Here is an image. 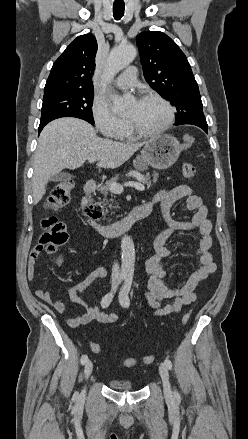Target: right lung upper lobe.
Here are the masks:
<instances>
[{"label": "right lung upper lobe", "mask_w": 248, "mask_h": 439, "mask_svg": "<svg viewBox=\"0 0 248 439\" xmlns=\"http://www.w3.org/2000/svg\"><path fill=\"white\" fill-rule=\"evenodd\" d=\"M97 42L92 34L77 37L54 62L47 79L44 95L77 90L93 89L92 74Z\"/></svg>", "instance_id": "cb5924a9"}]
</instances>
